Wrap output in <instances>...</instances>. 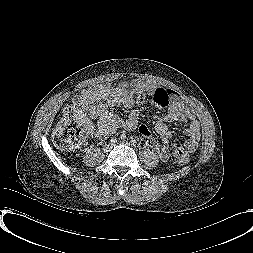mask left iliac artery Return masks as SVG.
Segmentation results:
<instances>
[{
  "instance_id": "left-iliac-artery-1",
  "label": "left iliac artery",
  "mask_w": 253,
  "mask_h": 253,
  "mask_svg": "<svg viewBox=\"0 0 253 253\" xmlns=\"http://www.w3.org/2000/svg\"><path fill=\"white\" fill-rule=\"evenodd\" d=\"M121 138H122V137H121ZM136 143H137V142H136L135 140L132 141V144H133V145H136Z\"/></svg>"
}]
</instances>
